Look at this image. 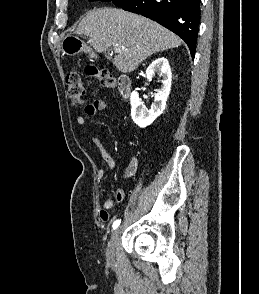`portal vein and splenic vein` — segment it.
<instances>
[{"label": "portal vein and splenic vein", "mask_w": 259, "mask_h": 294, "mask_svg": "<svg viewBox=\"0 0 259 294\" xmlns=\"http://www.w3.org/2000/svg\"><path fill=\"white\" fill-rule=\"evenodd\" d=\"M123 49H124V48H123L122 46H119V45H115V46H114V51H115L116 53L121 52Z\"/></svg>", "instance_id": "obj_1"}]
</instances>
